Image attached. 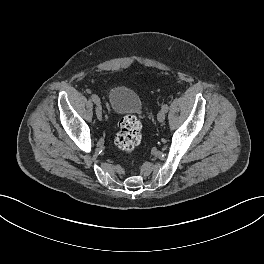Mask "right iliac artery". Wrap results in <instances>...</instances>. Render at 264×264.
Returning <instances> with one entry per match:
<instances>
[{
    "mask_svg": "<svg viewBox=\"0 0 264 264\" xmlns=\"http://www.w3.org/2000/svg\"><path fill=\"white\" fill-rule=\"evenodd\" d=\"M91 98H92V100H93L95 103H99V104H100V100H99V98H98L97 95H92Z\"/></svg>",
    "mask_w": 264,
    "mask_h": 264,
    "instance_id": "82829eb1",
    "label": "right iliac artery"
}]
</instances>
